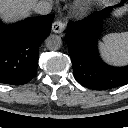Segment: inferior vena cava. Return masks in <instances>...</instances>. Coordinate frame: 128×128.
<instances>
[{"instance_id": "602c4592", "label": "inferior vena cava", "mask_w": 128, "mask_h": 128, "mask_svg": "<svg viewBox=\"0 0 128 128\" xmlns=\"http://www.w3.org/2000/svg\"><path fill=\"white\" fill-rule=\"evenodd\" d=\"M35 12L41 15L49 14L52 10V5L47 1H39L34 8Z\"/></svg>"}]
</instances>
